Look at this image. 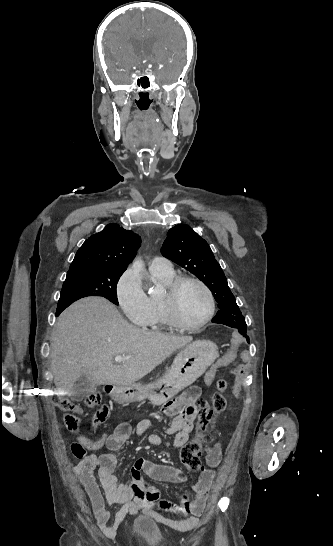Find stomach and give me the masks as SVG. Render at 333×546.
Wrapping results in <instances>:
<instances>
[{"mask_svg": "<svg viewBox=\"0 0 333 546\" xmlns=\"http://www.w3.org/2000/svg\"><path fill=\"white\" fill-rule=\"evenodd\" d=\"M219 356L217 345L209 340H197L184 347L172 366L153 383L115 386L110 392L117 403H131L149 399L161 405L190 386Z\"/></svg>", "mask_w": 333, "mask_h": 546, "instance_id": "stomach-1", "label": "stomach"}]
</instances>
